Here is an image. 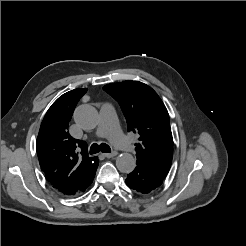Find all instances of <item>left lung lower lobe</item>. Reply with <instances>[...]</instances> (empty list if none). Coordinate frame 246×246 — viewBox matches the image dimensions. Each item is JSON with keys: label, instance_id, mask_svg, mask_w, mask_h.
<instances>
[{"label": "left lung lower lobe", "instance_id": "1", "mask_svg": "<svg viewBox=\"0 0 246 246\" xmlns=\"http://www.w3.org/2000/svg\"><path fill=\"white\" fill-rule=\"evenodd\" d=\"M165 177L143 164H137L126 178L127 186L141 194H148L158 188Z\"/></svg>", "mask_w": 246, "mask_h": 246}]
</instances>
